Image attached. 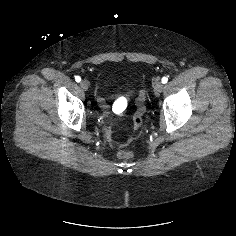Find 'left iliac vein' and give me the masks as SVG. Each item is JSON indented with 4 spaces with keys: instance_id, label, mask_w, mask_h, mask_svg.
I'll use <instances>...</instances> for the list:
<instances>
[{
    "instance_id": "1",
    "label": "left iliac vein",
    "mask_w": 236,
    "mask_h": 236,
    "mask_svg": "<svg viewBox=\"0 0 236 236\" xmlns=\"http://www.w3.org/2000/svg\"><path fill=\"white\" fill-rule=\"evenodd\" d=\"M153 87H154V93L156 95H159L164 89V85L160 81L155 82Z\"/></svg>"
}]
</instances>
